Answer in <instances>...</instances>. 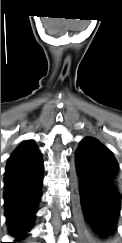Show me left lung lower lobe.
Here are the masks:
<instances>
[{
    "instance_id": "left-lung-lower-lobe-1",
    "label": "left lung lower lobe",
    "mask_w": 122,
    "mask_h": 243,
    "mask_svg": "<svg viewBox=\"0 0 122 243\" xmlns=\"http://www.w3.org/2000/svg\"><path fill=\"white\" fill-rule=\"evenodd\" d=\"M73 181L82 243H114L122 193L113 154L102 147L82 156L74 165Z\"/></svg>"
}]
</instances>
